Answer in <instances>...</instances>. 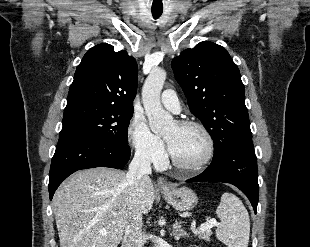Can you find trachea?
<instances>
[{
	"instance_id": "1",
	"label": "trachea",
	"mask_w": 310,
	"mask_h": 247,
	"mask_svg": "<svg viewBox=\"0 0 310 247\" xmlns=\"http://www.w3.org/2000/svg\"><path fill=\"white\" fill-rule=\"evenodd\" d=\"M162 14V10H152V16L154 19H157Z\"/></svg>"
}]
</instances>
